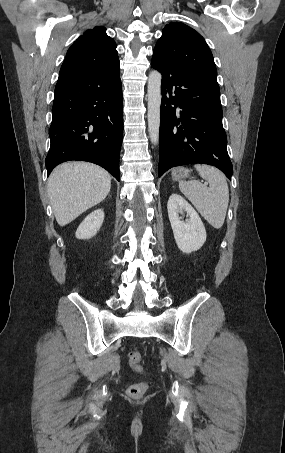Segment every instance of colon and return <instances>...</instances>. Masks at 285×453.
Segmentation results:
<instances>
[{
  "mask_svg": "<svg viewBox=\"0 0 285 453\" xmlns=\"http://www.w3.org/2000/svg\"><path fill=\"white\" fill-rule=\"evenodd\" d=\"M128 362L131 368L136 372H142V354L138 349H133L128 355ZM147 383L139 382L130 385L127 389V393L132 398L141 397L147 390Z\"/></svg>",
  "mask_w": 285,
  "mask_h": 453,
  "instance_id": "5ec220e1",
  "label": "colon"
}]
</instances>
